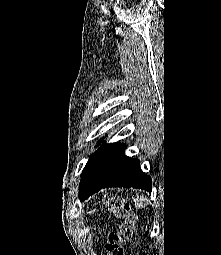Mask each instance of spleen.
<instances>
[{"instance_id": "3e777b00", "label": "spleen", "mask_w": 221, "mask_h": 255, "mask_svg": "<svg viewBox=\"0 0 221 255\" xmlns=\"http://www.w3.org/2000/svg\"><path fill=\"white\" fill-rule=\"evenodd\" d=\"M133 201H134V206L136 209H141L148 204V200H146V198L142 196L133 199Z\"/></svg>"}]
</instances>
